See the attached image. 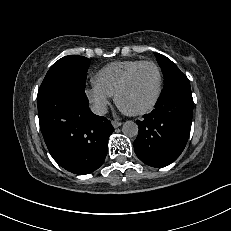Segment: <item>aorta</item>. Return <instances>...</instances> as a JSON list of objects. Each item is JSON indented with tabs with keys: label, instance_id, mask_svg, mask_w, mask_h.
Returning a JSON list of instances; mask_svg holds the SVG:
<instances>
[{
	"label": "aorta",
	"instance_id": "aorta-1",
	"mask_svg": "<svg viewBox=\"0 0 231 231\" xmlns=\"http://www.w3.org/2000/svg\"><path fill=\"white\" fill-rule=\"evenodd\" d=\"M138 125L133 121H126L122 126V132L128 137H135L138 134Z\"/></svg>",
	"mask_w": 231,
	"mask_h": 231
}]
</instances>
